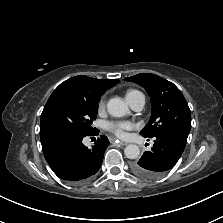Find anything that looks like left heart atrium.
Returning a JSON list of instances; mask_svg holds the SVG:
<instances>
[{
  "label": "left heart atrium",
  "mask_w": 223,
  "mask_h": 223,
  "mask_svg": "<svg viewBox=\"0 0 223 223\" xmlns=\"http://www.w3.org/2000/svg\"><path fill=\"white\" fill-rule=\"evenodd\" d=\"M133 128V124L129 121H115L106 124V129L114 135L124 138L127 131Z\"/></svg>",
  "instance_id": "left-heart-atrium-1"
}]
</instances>
